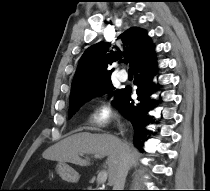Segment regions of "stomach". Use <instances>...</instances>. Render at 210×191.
<instances>
[{
  "label": "stomach",
  "instance_id": "obj_1",
  "mask_svg": "<svg viewBox=\"0 0 210 191\" xmlns=\"http://www.w3.org/2000/svg\"><path fill=\"white\" fill-rule=\"evenodd\" d=\"M56 171L67 182L76 183L80 178L78 172L64 162H58Z\"/></svg>",
  "mask_w": 210,
  "mask_h": 191
}]
</instances>
